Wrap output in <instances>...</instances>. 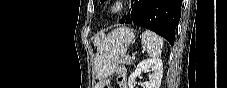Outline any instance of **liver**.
Instances as JSON below:
<instances>
[{"mask_svg": "<svg viewBox=\"0 0 227 88\" xmlns=\"http://www.w3.org/2000/svg\"><path fill=\"white\" fill-rule=\"evenodd\" d=\"M99 43H100V39L96 38L95 41H94V45H98Z\"/></svg>", "mask_w": 227, "mask_h": 88, "instance_id": "liver-1", "label": "liver"}]
</instances>
